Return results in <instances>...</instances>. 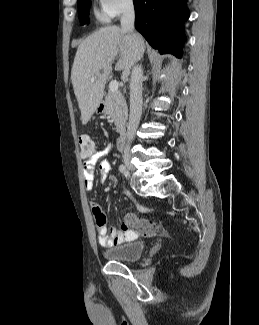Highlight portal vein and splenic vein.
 Instances as JSON below:
<instances>
[{"label": "portal vein and splenic vein", "instance_id": "portal-vein-and-splenic-vein-1", "mask_svg": "<svg viewBox=\"0 0 259 325\" xmlns=\"http://www.w3.org/2000/svg\"><path fill=\"white\" fill-rule=\"evenodd\" d=\"M95 80V77H92L91 81H94ZM118 88H119V83L118 81L116 80H112L110 83H109V89L111 92H116L118 91Z\"/></svg>", "mask_w": 259, "mask_h": 325}]
</instances>
